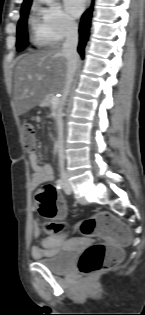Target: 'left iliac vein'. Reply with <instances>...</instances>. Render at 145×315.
<instances>
[{
  "mask_svg": "<svg viewBox=\"0 0 145 315\" xmlns=\"http://www.w3.org/2000/svg\"><path fill=\"white\" fill-rule=\"evenodd\" d=\"M63 181H64V191L66 194H70L71 191H72V187L68 181V178L67 177H64L63 178Z\"/></svg>",
  "mask_w": 145,
  "mask_h": 315,
  "instance_id": "left-iliac-vein-1",
  "label": "left iliac vein"
}]
</instances>
